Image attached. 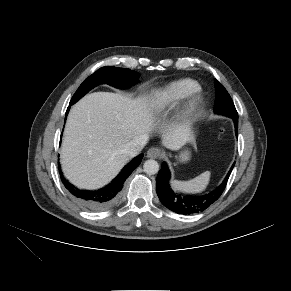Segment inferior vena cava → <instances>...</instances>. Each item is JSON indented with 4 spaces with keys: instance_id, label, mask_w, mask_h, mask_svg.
Segmentation results:
<instances>
[{
    "instance_id": "inferior-vena-cava-1",
    "label": "inferior vena cava",
    "mask_w": 291,
    "mask_h": 291,
    "mask_svg": "<svg viewBox=\"0 0 291 291\" xmlns=\"http://www.w3.org/2000/svg\"><path fill=\"white\" fill-rule=\"evenodd\" d=\"M148 137L141 136L140 138L134 139L124 145L123 152L128 157H134L139 154V152L143 149L144 145L147 143Z\"/></svg>"
}]
</instances>
